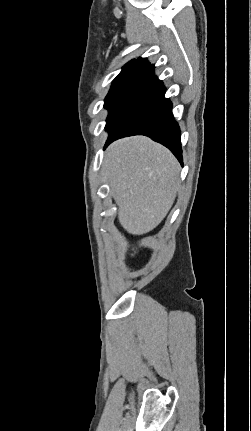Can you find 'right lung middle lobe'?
Returning <instances> with one entry per match:
<instances>
[{
	"label": "right lung middle lobe",
	"mask_w": 251,
	"mask_h": 431,
	"mask_svg": "<svg viewBox=\"0 0 251 431\" xmlns=\"http://www.w3.org/2000/svg\"><path fill=\"white\" fill-rule=\"evenodd\" d=\"M146 70L147 68L140 67L125 68L115 78L104 103V107L109 110L106 129H108L120 108L136 88Z\"/></svg>",
	"instance_id": "dd1d6c3e"
}]
</instances>
